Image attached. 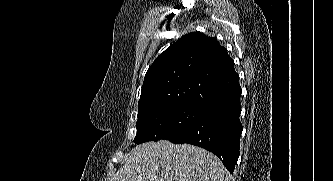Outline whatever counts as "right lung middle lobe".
Segmentation results:
<instances>
[{"label": "right lung middle lobe", "mask_w": 333, "mask_h": 181, "mask_svg": "<svg viewBox=\"0 0 333 181\" xmlns=\"http://www.w3.org/2000/svg\"><path fill=\"white\" fill-rule=\"evenodd\" d=\"M204 109L192 104H165L140 110L134 142L170 140L188 129Z\"/></svg>", "instance_id": "obj_1"}]
</instances>
